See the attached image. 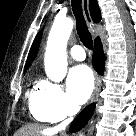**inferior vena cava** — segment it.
Returning a JSON list of instances; mask_svg holds the SVG:
<instances>
[{"label":"inferior vena cava","instance_id":"1","mask_svg":"<svg viewBox=\"0 0 136 136\" xmlns=\"http://www.w3.org/2000/svg\"><path fill=\"white\" fill-rule=\"evenodd\" d=\"M80 110L79 106L70 105L67 109V113L69 118L65 121H63L61 124L57 125L55 129L57 130H63L65 127L73 120V116L78 113Z\"/></svg>","mask_w":136,"mask_h":136}]
</instances>
